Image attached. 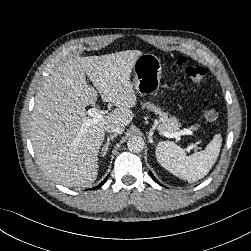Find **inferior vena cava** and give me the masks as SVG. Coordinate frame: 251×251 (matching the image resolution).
Returning a JSON list of instances; mask_svg holds the SVG:
<instances>
[{
    "instance_id": "inferior-vena-cava-1",
    "label": "inferior vena cava",
    "mask_w": 251,
    "mask_h": 251,
    "mask_svg": "<svg viewBox=\"0 0 251 251\" xmlns=\"http://www.w3.org/2000/svg\"><path fill=\"white\" fill-rule=\"evenodd\" d=\"M105 131L108 133L121 134L124 131V127L121 125L110 124L105 127Z\"/></svg>"
}]
</instances>
